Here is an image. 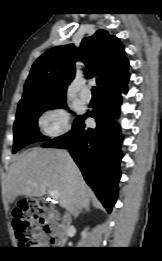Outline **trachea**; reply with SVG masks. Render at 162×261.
Segmentation results:
<instances>
[{
    "label": "trachea",
    "mask_w": 162,
    "mask_h": 261,
    "mask_svg": "<svg viewBox=\"0 0 162 261\" xmlns=\"http://www.w3.org/2000/svg\"><path fill=\"white\" fill-rule=\"evenodd\" d=\"M92 94H93V95H98V87L94 86V87L92 88Z\"/></svg>",
    "instance_id": "3493384b"
}]
</instances>
